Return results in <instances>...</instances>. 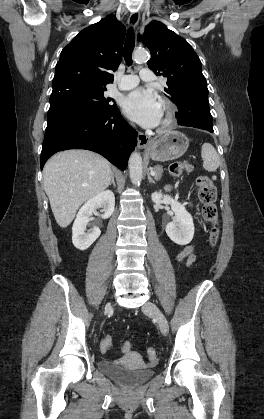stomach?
<instances>
[{"label":"stomach","mask_w":264,"mask_h":419,"mask_svg":"<svg viewBox=\"0 0 264 419\" xmlns=\"http://www.w3.org/2000/svg\"><path fill=\"white\" fill-rule=\"evenodd\" d=\"M189 146L188 138L181 132L171 131L161 138L151 141L146 149L155 161H169L180 158Z\"/></svg>","instance_id":"stomach-1"}]
</instances>
